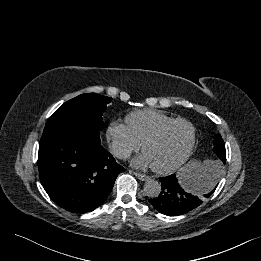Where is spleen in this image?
Instances as JSON below:
<instances>
[{
    "instance_id": "1",
    "label": "spleen",
    "mask_w": 261,
    "mask_h": 261,
    "mask_svg": "<svg viewBox=\"0 0 261 261\" xmlns=\"http://www.w3.org/2000/svg\"><path fill=\"white\" fill-rule=\"evenodd\" d=\"M202 167V163H191L188 164L185 168H182L179 173L182 185L186 188H189L193 183L195 175Z\"/></svg>"
}]
</instances>
